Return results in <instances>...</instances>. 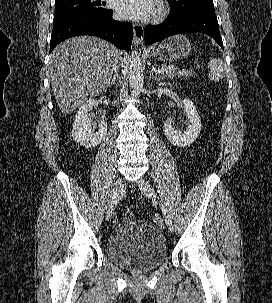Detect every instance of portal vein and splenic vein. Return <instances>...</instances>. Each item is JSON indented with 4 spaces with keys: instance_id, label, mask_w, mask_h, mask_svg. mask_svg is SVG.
Instances as JSON below:
<instances>
[{
    "instance_id": "18ae733b",
    "label": "portal vein and splenic vein",
    "mask_w": 272,
    "mask_h": 303,
    "mask_svg": "<svg viewBox=\"0 0 272 303\" xmlns=\"http://www.w3.org/2000/svg\"><path fill=\"white\" fill-rule=\"evenodd\" d=\"M158 72H159V73H164V72H165V69H164V68H159V69H158Z\"/></svg>"
}]
</instances>
